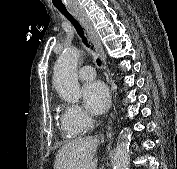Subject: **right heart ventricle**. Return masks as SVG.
<instances>
[{"mask_svg":"<svg viewBox=\"0 0 177 169\" xmlns=\"http://www.w3.org/2000/svg\"><path fill=\"white\" fill-rule=\"evenodd\" d=\"M62 124H63L64 129L67 131L68 128H67L66 125L64 124L63 120H62ZM69 137L73 138V137H75V136L70 135Z\"/></svg>","mask_w":177,"mask_h":169,"instance_id":"obj_1","label":"right heart ventricle"}]
</instances>
